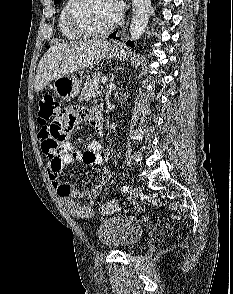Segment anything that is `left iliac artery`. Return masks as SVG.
<instances>
[{"label": "left iliac artery", "mask_w": 233, "mask_h": 294, "mask_svg": "<svg viewBox=\"0 0 233 294\" xmlns=\"http://www.w3.org/2000/svg\"><path fill=\"white\" fill-rule=\"evenodd\" d=\"M123 192H129L130 188L127 186L122 187Z\"/></svg>", "instance_id": "obj_1"}]
</instances>
